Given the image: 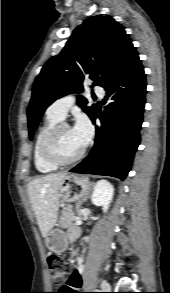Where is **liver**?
<instances>
[{"instance_id": "obj_1", "label": "liver", "mask_w": 170, "mask_h": 293, "mask_svg": "<svg viewBox=\"0 0 170 293\" xmlns=\"http://www.w3.org/2000/svg\"><path fill=\"white\" fill-rule=\"evenodd\" d=\"M67 172L41 176L29 182L28 196L41 234L46 238L58 216L59 190Z\"/></svg>"}]
</instances>
